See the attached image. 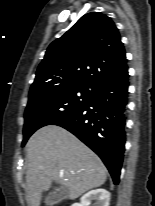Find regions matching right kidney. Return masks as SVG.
I'll list each match as a JSON object with an SVG mask.
<instances>
[{
    "label": "right kidney",
    "instance_id": "ca27d5eb",
    "mask_svg": "<svg viewBox=\"0 0 155 206\" xmlns=\"http://www.w3.org/2000/svg\"><path fill=\"white\" fill-rule=\"evenodd\" d=\"M95 202V206H109L110 193L105 189H95L84 194L79 203L72 206H89L91 201Z\"/></svg>",
    "mask_w": 155,
    "mask_h": 206
}]
</instances>
